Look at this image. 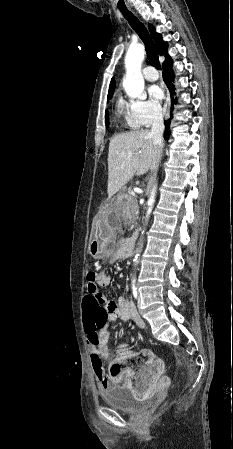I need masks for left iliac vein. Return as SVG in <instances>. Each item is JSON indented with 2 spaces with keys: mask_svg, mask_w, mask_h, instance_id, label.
<instances>
[{
  "mask_svg": "<svg viewBox=\"0 0 233 449\" xmlns=\"http://www.w3.org/2000/svg\"><path fill=\"white\" fill-rule=\"evenodd\" d=\"M138 305H140V296H139V299H138Z\"/></svg>",
  "mask_w": 233,
  "mask_h": 449,
  "instance_id": "4c4485c4",
  "label": "left iliac vein"
}]
</instances>
